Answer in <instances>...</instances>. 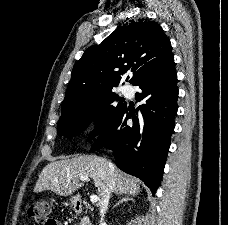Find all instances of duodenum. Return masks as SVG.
<instances>
[{"label":"duodenum","mask_w":228,"mask_h":225,"mask_svg":"<svg viewBox=\"0 0 228 225\" xmlns=\"http://www.w3.org/2000/svg\"><path fill=\"white\" fill-rule=\"evenodd\" d=\"M71 204H72L73 209H74L76 212L82 213V212L84 211V205H83V203H82V201H81L80 198L74 197V198L72 199Z\"/></svg>","instance_id":"1"}]
</instances>
